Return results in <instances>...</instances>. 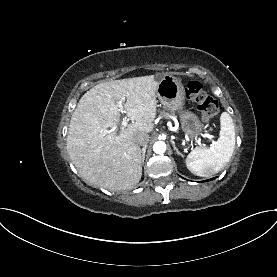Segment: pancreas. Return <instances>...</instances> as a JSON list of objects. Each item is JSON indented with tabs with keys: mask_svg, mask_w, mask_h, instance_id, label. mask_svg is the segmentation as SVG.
Listing matches in <instances>:
<instances>
[{
	"mask_svg": "<svg viewBox=\"0 0 277 277\" xmlns=\"http://www.w3.org/2000/svg\"><path fill=\"white\" fill-rule=\"evenodd\" d=\"M160 115L166 116V115H169V113L166 111H160Z\"/></svg>",
	"mask_w": 277,
	"mask_h": 277,
	"instance_id": "cf45deb5",
	"label": "pancreas"
}]
</instances>
